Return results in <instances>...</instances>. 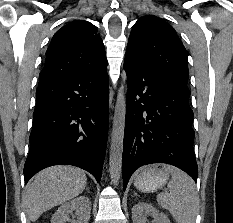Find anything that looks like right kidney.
<instances>
[{"instance_id": "1", "label": "right kidney", "mask_w": 233, "mask_h": 223, "mask_svg": "<svg viewBox=\"0 0 233 223\" xmlns=\"http://www.w3.org/2000/svg\"><path fill=\"white\" fill-rule=\"evenodd\" d=\"M91 213V201L87 195H79L70 201H65L57 211L53 213L51 223H65L70 219L69 215H77L71 223H89Z\"/></svg>"}]
</instances>
